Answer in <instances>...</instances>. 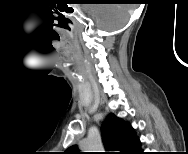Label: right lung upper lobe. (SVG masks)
I'll list each match as a JSON object with an SVG mask.
<instances>
[{"label": "right lung upper lobe", "instance_id": "obj_1", "mask_svg": "<svg viewBox=\"0 0 188 154\" xmlns=\"http://www.w3.org/2000/svg\"><path fill=\"white\" fill-rule=\"evenodd\" d=\"M103 138L109 149L118 154H138L141 151L140 140L136 136L132 126L110 113L102 125ZM68 153H78L77 146L68 148Z\"/></svg>", "mask_w": 188, "mask_h": 154}]
</instances>
